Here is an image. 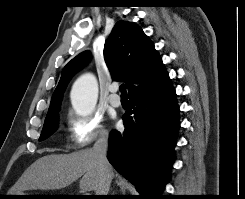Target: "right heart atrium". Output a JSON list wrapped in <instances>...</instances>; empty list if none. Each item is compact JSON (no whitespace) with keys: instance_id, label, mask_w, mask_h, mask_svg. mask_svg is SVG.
<instances>
[{"instance_id":"d8ad5b80","label":"right heart atrium","mask_w":245,"mask_h":199,"mask_svg":"<svg viewBox=\"0 0 245 199\" xmlns=\"http://www.w3.org/2000/svg\"><path fill=\"white\" fill-rule=\"evenodd\" d=\"M69 141L73 148L82 149L93 142L107 139L108 132L103 118L98 113L79 115L70 111L67 116Z\"/></svg>"}]
</instances>
